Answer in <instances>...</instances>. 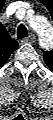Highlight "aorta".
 Here are the masks:
<instances>
[{
    "label": "aorta",
    "mask_w": 53,
    "mask_h": 120,
    "mask_svg": "<svg viewBox=\"0 0 53 120\" xmlns=\"http://www.w3.org/2000/svg\"><path fill=\"white\" fill-rule=\"evenodd\" d=\"M31 25L38 34L40 45L42 47H49L52 43V29L50 23L41 17H36L32 19Z\"/></svg>",
    "instance_id": "aorta-1"
}]
</instances>
